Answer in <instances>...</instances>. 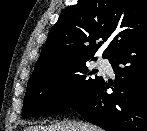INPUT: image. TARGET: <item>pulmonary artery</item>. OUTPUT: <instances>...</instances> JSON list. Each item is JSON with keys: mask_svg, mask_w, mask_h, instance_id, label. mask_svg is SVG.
Masks as SVG:
<instances>
[{"mask_svg": "<svg viewBox=\"0 0 147 131\" xmlns=\"http://www.w3.org/2000/svg\"><path fill=\"white\" fill-rule=\"evenodd\" d=\"M98 63L100 66H105L107 64V61L104 59H100Z\"/></svg>", "mask_w": 147, "mask_h": 131, "instance_id": "e3ab8cb5", "label": "pulmonary artery"}]
</instances>
